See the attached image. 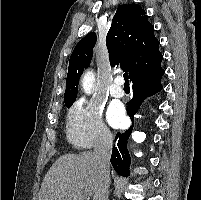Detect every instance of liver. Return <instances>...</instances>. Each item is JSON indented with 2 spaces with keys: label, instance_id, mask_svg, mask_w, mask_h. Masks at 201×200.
Masks as SVG:
<instances>
[{
  "label": "liver",
  "instance_id": "obj_1",
  "mask_svg": "<svg viewBox=\"0 0 201 200\" xmlns=\"http://www.w3.org/2000/svg\"><path fill=\"white\" fill-rule=\"evenodd\" d=\"M101 171L94 152L59 157L45 175L39 200H84L88 190L96 200Z\"/></svg>",
  "mask_w": 201,
  "mask_h": 200
}]
</instances>
